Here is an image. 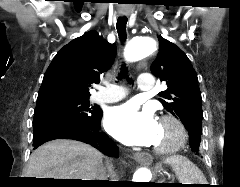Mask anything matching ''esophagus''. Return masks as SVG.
<instances>
[{"label":"esophagus","instance_id":"34e87169","mask_svg":"<svg viewBox=\"0 0 240 187\" xmlns=\"http://www.w3.org/2000/svg\"><path fill=\"white\" fill-rule=\"evenodd\" d=\"M133 159L137 161L138 163H144V164H149L152 163L153 157L148 154V153H143V152H134L133 153Z\"/></svg>","mask_w":240,"mask_h":187}]
</instances>
